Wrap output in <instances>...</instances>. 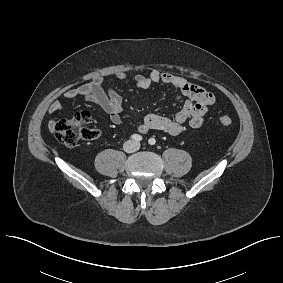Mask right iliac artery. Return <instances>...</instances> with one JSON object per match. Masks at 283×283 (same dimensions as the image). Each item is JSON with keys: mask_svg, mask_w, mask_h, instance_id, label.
<instances>
[{"mask_svg": "<svg viewBox=\"0 0 283 283\" xmlns=\"http://www.w3.org/2000/svg\"><path fill=\"white\" fill-rule=\"evenodd\" d=\"M131 138H132V140L137 141V142L142 140V136H140L138 134L132 135Z\"/></svg>", "mask_w": 283, "mask_h": 283, "instance_id": "obj_1", "label": "right iliac artery"}]
</instances>
